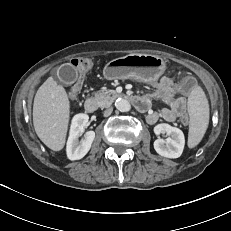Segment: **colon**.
<instances>
[{
	"label": "colon",
	"instance_id": "colon-1",
	"mask_svg": "<svg viewBox=\"0 0 231 231\" xmlns=\"http://www.w3.org/2000/svg\"><path fill=\"white\" fill-rule=\"evenodd\" d=\"M72 65L76 69H78V73L75 76L74 85L72 86L70 95L71 97L76 98L79 95L78 88L82 86L83 80L87 74L86 69H89L92 67L93 59L90 57L77 58V59L72 60ZM194 86H195L194 79L188 76L183 79V81L179 85V88H180V91L183 93H190L194 89ZM181 122L183 124H187L188 123L187 116L183 117L181 119Z\"/></svg>",
	"mask_w": 231,
	"mask_h": 231
}]
</instances>
